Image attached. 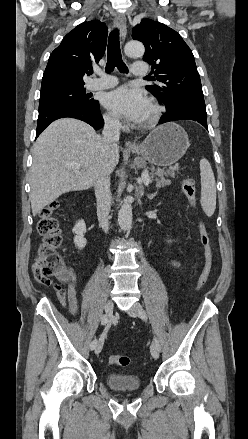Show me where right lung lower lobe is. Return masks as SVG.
I'll list each match as a JSON object with an SVG mask.
<instances>
[{"mask_svg": "<svg viewBox=\"0 0 248 439\" xmlns=\"http://www.w3.org/2000/svg\"><path fill=\"white\" fill-rule=\"evenodd\" d=\"M64 117L82 120L90 124L95 130L100 129L104 124L97 100L91 105L81 103L62 105L39 113L36 138L51 122Z\"/></svg>", "mask_w": 248, "mask_h": 439, "instance_id": "obj_1", "label": "right lung lower lobe"}]
</instances>
